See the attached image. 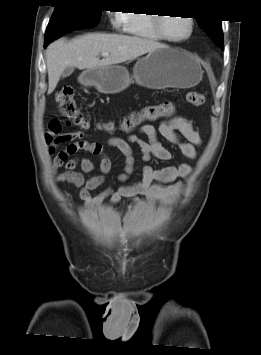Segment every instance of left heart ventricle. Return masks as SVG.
Listing matches in <instances>:
<instances>
[{
  "label": "left heart ventricle",
  "instance_id": "b2bd125f",
  "mask_svg": "<svg viewBox=\"0 0 261 355\" xmlns=\"http://www.w3.org/2000/svg\"><path fill=\"white\" fill-rule=\"evenodd\" d=\"M163 29L167 36L179 39L189 34L190 25L185 17H169L164 19Z\"/></svg>",
  "mask_w": 261,
  "mask_h": 355
}]
</instances>
